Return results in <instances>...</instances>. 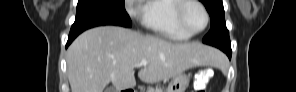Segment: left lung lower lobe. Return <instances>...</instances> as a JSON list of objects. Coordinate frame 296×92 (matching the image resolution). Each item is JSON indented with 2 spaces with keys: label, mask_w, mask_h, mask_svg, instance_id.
Here are the masks:
<instances>
[{
  "label": "left lung lower lobe",
  "mask_w": 296,
  "mask_h": 92,
  "mask_svg": "<svg viewBox=\"0 0 296 92\" xmlns=\"http://www.w3.org/2000/svg\"><path fill=\"white\" fill-rule=\"evenodd\" d=\"M222 51H224L227 55H228V57L229 58H231V54H232V50H231V48H226V47H222V48H220Z\"/></svg>",
  "instance_id": "obj_1"
}]
</instances>
